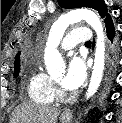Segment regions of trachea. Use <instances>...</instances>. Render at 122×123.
Listing matches in <instances>:
<instances>
[{
    "instance_id": "obj_1",
    "label": "trachea",
    "mask_w": 122,
    "mask_h": 123,
    "mask_svg": "<svg viewBox=\"0 0 122 123\" xmlns=\"http://www.w3.org/2000/svg\"><path fill=\"white\" fill-rule=\"evenodd\" d=\"M85 45H86V46H90V45H91V41H87V42L85 43Z\"/></svg>"
}]
</instances>
